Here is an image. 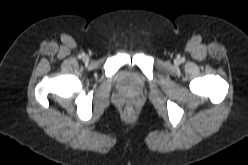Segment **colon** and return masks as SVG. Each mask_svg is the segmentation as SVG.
I'll return each mask as SVG.
<instances>
[{"mask_svg":"<svg viewBox=\"0 0 248 165\" xmlns=\"http://www.w3.org/2000/svg\"><path fill=\"white\" fill-rule=\"evenodd\" d=\"M128 113H131L130 109H128Z\"/></svg>","mask_w":248,"mask_h":165,"instance_id":"1","label":"colon"}]
</instances>
